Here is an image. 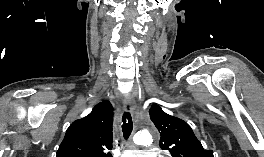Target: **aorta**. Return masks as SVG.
<instances>
[{
  "mask_svg": "<svg viewBox=\"0 0 264 157\" xmlns=\"http://www.w3.org/2000/svg\"><path fill=\"white\" fill-rule=\"evenodd\" d=\"M134 142L137 145L148 146L152 143V137L149 133H144V132L137 133L134 136Z\"/></svg>",
  "mask_w": 264,
  "mask_h": 157,
  "instance_id": "762f6f07",
  "label": "aorta"
}]
</instances>
